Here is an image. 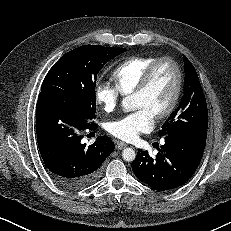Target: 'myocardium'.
I'll return each instance as SVG.
<instances>
[{"mask_svg": "<svg viewBox=\"0 0 231 231\" xmlns=\"http://www.w3.org/2000/svg\"><path fill=\"white\" fill-rule=\"evenodd\" d=\"M163 62H167L169 63L175 72V87H174V91L172 94V97L169 101V103L165 106V108H163L162 110L156 112L154 114L155 118L157 119H163L167 116H169L176 108L179 99L181 97V93H182V89H183V73H182V69L180 67V65L178 64V62L176 60H174L171 57L168 56H164V57H160L157 58L154 62H152L147 69L145 70L144 74L142 75V78L139 82V84L137 85V87L135 88V90L133 91V95L136 94H141L144 93L150 82L152 79V76L154 74L155 69L157 68V66Z\"/></svg>", "mask_w": 231, "mask_h": 231, "instance_id": "obj_1", "label": "myocardium"}]
</instances>
